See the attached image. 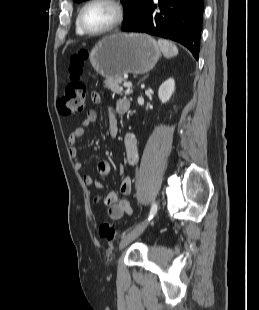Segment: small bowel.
I'll use <instances>...</instances> for the list:
<instances>
[{
  "instance_id": "obj_1",
  "label": "small bowel",
  "mask_w": 259,
  "mask_h": 310,
  "mask_svg": "<svg viewBox=\"0 0 259 310\" xmlns=\"http://www.w3.org/2000/svg\"><path fill=\"white\" fill-rule=\"evenodd\" d=\"M91 100L93 103H100V95L97 92H93L91 94ZM122 106L129 107V102L125 99H121L117 102L116 109H119ZM107 116L109 120V132L110 135L115 138L118 133L117 120L115 117V112L112 107L107 108ZM97 113L94 110H90L86 113L85 117L82 119L80 124L70 133L68 141H69V154L72 160L74 161L75 167L80 169L82 167V163L79 160L78 151L76 148V143L83 137L85 131L96 121ZM125 146H126V154L128 162L131 165H136L138 163V152L136 146V140L133 133L128 132L125 136ZM97 171L100 176L108 177L111 173V166L108 161L101 160L97 164ZM83 181L87 186H93L98 191H102L104 189V185L102 182L97 181L91 175H84ZM133 181L130 177H125L121 181L120 191L124 195H129L132 192ZM94 203L99 204L102 200L101 194H97L94 196ZM104 205L108 208V215L112 220H119L124 215H131L132 208L128 200L119 199V194L115 190L109 191L105 197L103 198Z\"/></svg>"
}]
</instances>
